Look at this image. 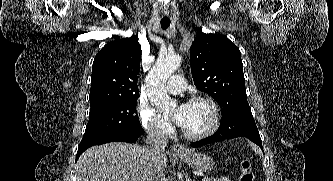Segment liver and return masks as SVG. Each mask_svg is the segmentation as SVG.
<instances>
[{
	"label": "liver",
	"mask_w": 333,
	"mask_h": 181,
	"mask_svg": "<svg viewBox=\"0 0 333 181\" xmlns=\"http://www.w3.org/2000/svg\"><path fill=\"white\" fill-rule=\"evenodd\" d=\"M148 148L137 144L111 142L86 150L77 163V181H145ZM163 153L160 166H167Z\"/></svg>",
	"instance_id": "6515ba94"
}]
</instances>
